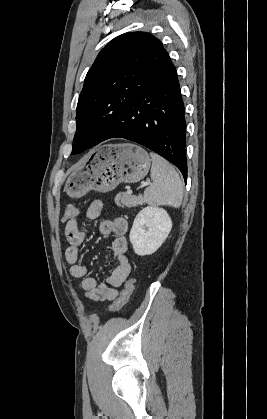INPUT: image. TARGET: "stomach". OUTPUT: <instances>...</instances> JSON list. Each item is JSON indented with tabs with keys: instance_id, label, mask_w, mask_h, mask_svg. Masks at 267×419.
Here are the masks:
<instances>
[{
	"instance_id": "1",
	"label": "stomach",
	"mask_w": 267,
	"mask_h": 419,
	"mask_svg": "<svg viewBox=\"0 0 267 419\" xmlns=\"http://www.w3.org/2000/svg\"><path fill=\"white\" fill-rule=\"evenodd\" d=\"M150 165L149 154L136 144H104L91 151L82 164L72 170L64 190L70 197H81L90 190L109 192L122 182L140 181Z\"/></svg>"
}]
</instances>
